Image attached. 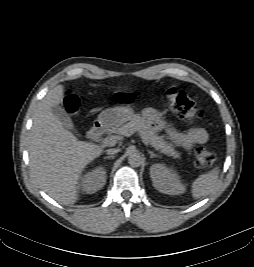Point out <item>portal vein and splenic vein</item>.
<instances>
[{"label":"portal vein and splenic vein","mask_w":254,"mask_h":267,"mask_svg":"<svg viewBox=\"0 0 254 267\" xmlns=\"http://www.w3.org/2000/svg\"><path fill=\"white\" fill-rule=\"evenodd\" d=\"M117 138L115 136H112V137H106L104 140H103V144L106 145V146H114L116 144V140ZM142 141L145 143V144H148L147 141L143 138Z\"/></svg>","instance_id":"18ae733b"}]
</instances>
